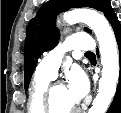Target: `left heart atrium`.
<instances>
[{
	"instance_id": "39dd6f15",
	"label": "left heart atrium",
	"mask_w": 121,
	"mask_h": 113,
	"mask_svg": "<svg viewBox=\"0 0 121 113\" xmlns=\"http://www.w3.org/2000/svg\"><path fill=\"white\" fill-rule=\"evenodd\" d=\"M75 102H79L88 92V80L80 70H74L69 76L67 86Z\"/></svg>"
}]
</instances>
